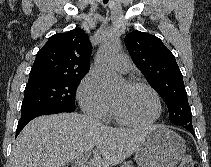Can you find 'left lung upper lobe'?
<instances>
[{
    "mask_svg": "<svg viewBox=\"0 0 211 167\" xmlns=\"http://www.w3.org/2000/svg\"><path fill=\"white\" fill-rule=\"evenodd\" d=\"M125 44L134 64L165 101L170 121L193 127L183 76L171 51L158 37L137 30L126 35Z\"/></svg>",
    "mask_w": 211,
    "mask_h": 167,
    "instance_id": "5c2ea615",
    "label": "left lung upper lobe"
}]
</instances>
